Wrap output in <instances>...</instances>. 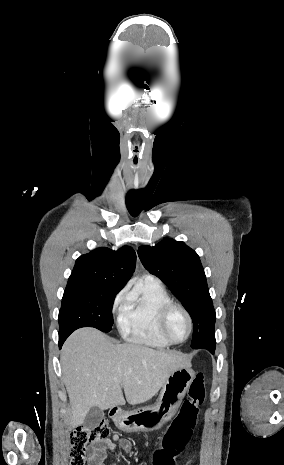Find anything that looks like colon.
Masks as SVG:
<instances>
[{"label":"colon","mask_w":284,"mask_h":465,"mask_svg":"<svg viewBox=\"0 0 284 465\" xmlns=\"http://www.w3.org/2000/svg\"><path fill=\"white\" fill-rule=\"evenodd\" d=\"M205 401L204 376L202 373L193 375L188 388V398L184 401L182 411L177 414V421H172L165 431L163 447L165 451H157L155 457L151 459L154 465H177L183 452L182 448H187L189 442L186 438L192 437V430H195V414L197 406H201ZM109 437L106 424L98 422L93 425L77 429L71 434L70 442V465H84L85 450L93 443L105 440ZM174 448L176 452H173ZM169 452V453H168Z\"/></svg>","instance_id":"1"}]
</instances>
